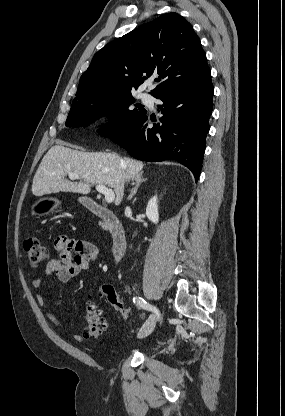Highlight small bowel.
Segmentation results:
<instances>
[{
	"label": "small bowel",
	"instance_id": "small-bowel-1",
	"mask_svg": "<svg viewBox=\"0 0 285 416\" xmlns=\"http://www.w3.org/2000/svg\"><path fill=\"white\" fill-rule=\"evenodd\" d=\"M55 249L59 257L50 260L43 272V275L32 282L34 288H40L45 279L55 277L61 283H67L77 277L82 271L87 270L90 263L98 255L97 247L87 241L72 239L67 236H59L55 241ZM38 304L45 308L47 319L59 328H64L62 321L46 308V300L42 294L37 295ZM73 339L81 342L85 339L84 334H74Z\"/></svg>",
	"mask_w": 285,
	"mask_h": 416
}]
</instances>
